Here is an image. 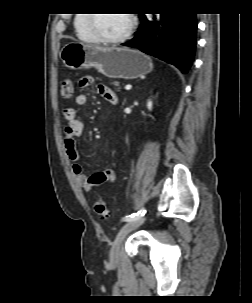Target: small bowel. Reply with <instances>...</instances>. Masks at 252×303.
Here are the masks:
<instances>
[{"mask_svg": "<svg viewBox=\"0 0 252 303\" xmlns=\"http://www.w3.org/2000/svg\"><path fill=\"white\" fill-rule=\"evenodd\" d=\"M95 79L92 75H84L80 79V86L87 88L94 83ZM96 89L98 93L110 104L117 103L115 93L108 86L104 84H97ZM87 95L84 93L78 94L74 103L78 106H83L87 103ZM64 146L66 153L72 160H77L79 157L77 148V138L84 133L85 126L83 121L78 117L76 110L73 107H67L64 110ZM117 161H113V167L99 171L91 176H88L79 164L72 166V171L78 183L86 191H91L94 187L101 184H112L116 180L115 167Z\"/></svg>", "mask_w": 252, "mask_h": 303, "instance_id": "c3829d8e", "label": "small bowel"}]
</instances>
